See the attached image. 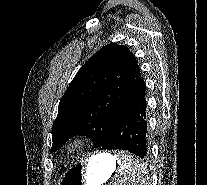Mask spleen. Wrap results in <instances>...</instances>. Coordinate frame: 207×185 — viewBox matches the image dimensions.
I'll list each match as a JSON object with an SVG mask.
<instances>
[{"mask_svg":"<svg viewBox=\"0 0 207 185\" xmlns=\"http://www.w3.org/2000/svg\"><path fill=\"white\" fill-rule=\"evenodd\" d=\"M118 156L119 158H136V153L118 151ZM117 164L119 167L111 185H144V182H147L146 179H150V174H147L141 159H117Z\"/></svg>","mask_w":207,"mask_h":185,"instance_id":"1","label":"spleen"}]
</instances>
